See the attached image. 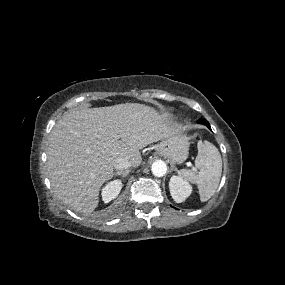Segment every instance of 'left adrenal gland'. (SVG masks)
<instances>
[{
	"label": "left adrenal gland",
	"mask_w": 285,
	"mask_h": 285,
	"mask_svg": "<svg viewBox=\"0 0 285 285\" xmlns=\"http://www.w3.org/2000/svg\"><path fill=\"white\" fill-rule=\"evenodd\" d=\"M171 170L178 171L177 168L174 165H171Z\"/></svg>",
	"instance_id": "left-adrenal-gland-1"
}]
</instances>
